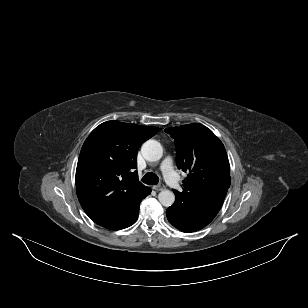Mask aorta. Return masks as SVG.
Masks as SVG:
<instances>
[{"label":"aorta","instance_id":"1","mask_svg":"<svg viewBox=\"0 0 308 308\" xmlns=\"http://www.w3.org/2000/svg\"><path fill=\"white\" fill-rule=\"evenodd\" d=\"M141 152L147 161L154 162L161 159L163 155V148L158 141L150 139L142 145ZM158 200L163 206L169 207L173 205L175 195L170 190H162L158 194Z\"/></svg>","mask_w":308,"mask_h":308}]
</instances>
